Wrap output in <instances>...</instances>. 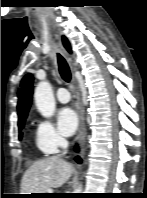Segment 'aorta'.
<instances>
[{"label": "aorta", "instance_id": "aorta-1", "mask_svg": "<svg viewBox=\"0 0 147 198\" xmlns=\"http://www.w3.org/2000/svg\"><path fill=\"white\" fill-rule=\"evenodd\" d=\"M34 99L35 105L43 117L50 118L53 116L56 104L49 82L41 81L38 83L34 91ZM75 193H82L81 184L76 188Z\"/></svg>", "mask_w": 147, "mask_h": 198}]
</instances>
